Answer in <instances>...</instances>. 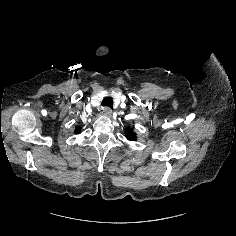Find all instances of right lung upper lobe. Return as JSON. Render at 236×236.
I'll use <instances>...</instances> for the list:
<instances>
[{"label":"right lung upper lobe","instance_id":"cb5924a9","mask_svg":"<svg viewBox=\"0 0 236 236\" xmlns=\"http://www.w3.org/2000/svg\"><path fill=\"white\" fill-rule=\"evenodd\" d=\"M76 133H79L80 132V127H77L76 130H75Z\"/></svg>","mask_w":236,"mask_h":236}]
</instances>
